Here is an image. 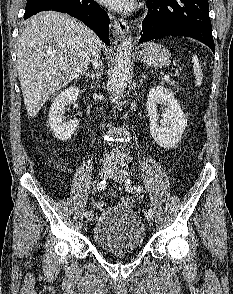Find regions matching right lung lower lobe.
I'll return each mask as SVG.
<instances>
[{"label": "right lung lower lobe", "mask_w": 233, "mask_h": 294, "mask_svg": "<svg viewBox=\"0 0 233 294\" xmlns=\"http://www.w3.org/2000/svg\"><path fill=\"white\" fill-rule=\"evenodd\" d=\"M41 11L67 13L90 27L100 39L110 46L109 16L94 0H44L25 11L24 19Z\"/></svg>", "instance_id": "right-lung-lower-lobe-1"}]
</instances>
